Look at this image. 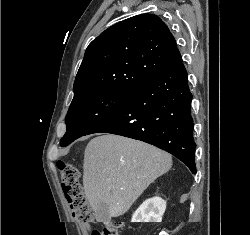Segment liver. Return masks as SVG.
Instances as JSON below:
<instances>
[{
  "instance_id": "obj_1",
  "label": "liver",
  "mask_w": 250,
  "mask_h": 235,
  "mask_svg": "<svg viewBox=\"0 0 250 235\" xmlns=\"http://www.w3.org/2000/svg\"><path fill=\"white\" fill-rule=\"evenodd\" d=\"M171 167V155L150 144L114 134L93 138L84 153L83 185L96 220L102 203L111 217L123 215Z\"/></svg>"
}]
</instances>
